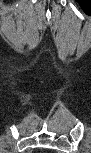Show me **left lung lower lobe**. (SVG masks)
Instances as JSON below:
<instances>
[{
    "label": "left lung lower lobe",
    "instance_id": "0a47b994",
    "mask_svg": "<svg viewBox=\"0 0 91 153\" xmlns=\"http://www.w3.org/2000/svg\"><path fill=\"white\" fill-rule=\"evenodd\" d=\"M83 1H84V0H78V2H79L81 5H83V4H82Z\"/></svg>",
    "mask_w": 91,
    "mask_h": 153
}]
</instances>
